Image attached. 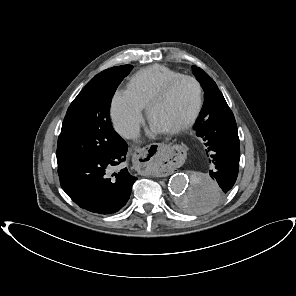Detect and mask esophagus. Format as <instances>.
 I'll return each mask as SVG.
<instances>
[{
  "label": "esophagus",
  "mask_w": 296,
  "mask_h": 296,
  "mask_svg": "<svg viewBox=\"0 0 296 296\" xmlns=\"http://www.w3.org/2000/svg\"><path fill=\"white\" fill-rule=\"evenodd\" d=\"M174 158V149L168 142H159L155 147L144 143L137 144L133 149V171L144 177L151 173L154 166L169 163Z\"/></svg>",
  "instance_id": "obj_1"
}]
</instances>
